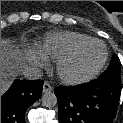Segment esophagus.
Instances as JSON below:
<instances>
[{
    "mask_svg": "<svg viewBox=\"0 0 123 123\" xmlns=\"http://www.w3.org/2000/svg\"><path fill=\"white\" fill-rule=\"evenodd\" d=\"M51 91H53V87L48 82H45L43 84V93H49Z\"/></svg>",
    "mask_w": 123,
    "mask_h": 123,
    "instance_id": "34e87169",
    "label": "esophagus"
}]
</instances>
